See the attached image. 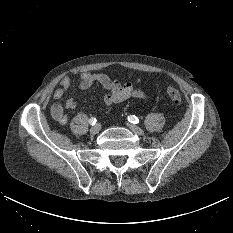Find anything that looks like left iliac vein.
Here are the masks:
<instances>
[{
    "mask_svg": "<svg viewBox=\"0 0 233 233\" xmlns=\"http://www.w3.org/2000/svg\"><path fill=\"white\" fill-rule=\"evenodd\" d=\"M127 127L134 133L138 134V135H143L144 131L143 129H141L140 127L132 124V123H127Z\"/></svg>",
    "mask_w": 233,
    "mask_h": 233,
    "instance_id": "1",
    "label": "left iliac vein"
}]
</instances>
